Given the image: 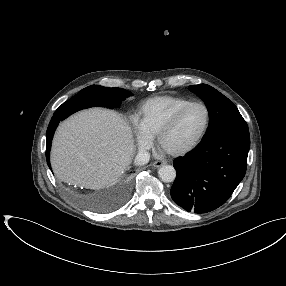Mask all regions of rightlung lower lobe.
Listing matches in <instances>:
<instances>
[{
  "mask_svg": "<svg viewBox=\"0 0 286 286\" xmlns=\"http://www.w3.org/2000/svg\"><path fill=\"white\" fill-rule=\"evenodd\" d=\"M62 120L61 118L53 115L50 123H49V126H48V129H47V135H46V159H47V164L49 166V168L51 167L50 166V161H49V154H50V148H51V141H52V137L54 135V131L59 123V121Z\"/></svg>",
  "mask_w": 286,
  "mask_h": 286,
  "instance_id": "1",
  "label": "right lung lower lobe"
}]
</instances>
